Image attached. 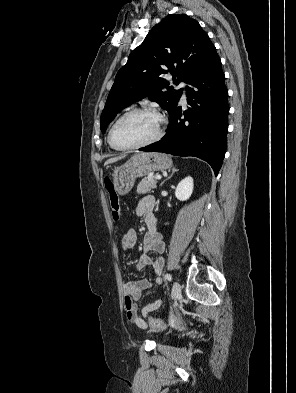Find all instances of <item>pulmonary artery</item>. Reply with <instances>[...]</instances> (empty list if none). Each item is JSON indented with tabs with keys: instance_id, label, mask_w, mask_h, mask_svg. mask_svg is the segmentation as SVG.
<instances>
[{
	"instance_id": "e3ab8cb5",
	"label": "pulmonary artery",
	"mask_w": 296,
	"mask_h": 393,
	"mask_svg": "<svg viewBox=\"0 0 296 393\" xmlns=\"http://www.w3.org/2000/svg\"><path fill=\"white\" fill-rule=\"evenodd\" d=\"M186 85H187V83L184 81L180 82L178 85L179 88L183 89V94H182V101L183 102H185V100H186V91H185Z\"/></svg>"
}]
</instances>
